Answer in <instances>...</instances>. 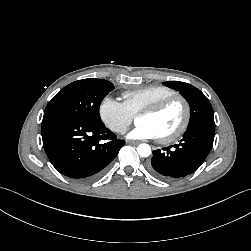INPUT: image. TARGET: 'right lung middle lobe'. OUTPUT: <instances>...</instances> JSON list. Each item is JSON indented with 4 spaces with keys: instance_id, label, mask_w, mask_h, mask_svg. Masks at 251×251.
<instances>
[{
    "instance_id": "right-lung-middle-lobe-1",
    "label": "right lung middle lobe",
    "mask_w": 251,
    "mask_h": 251,
    "mask_svg": "<svg viewBox=\"0 0 251 251\" xmlns=\"http://www.w3.org/2000/svg\"><path fill=\"white\" fill-rule=\"evenodd\" d=\"M114 85L103 79H82L61 89L48 103L43 119L66 116L101 122L99 107Z\"/></svg>"
}]
</instances>
